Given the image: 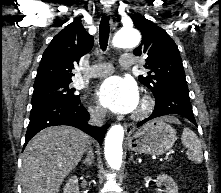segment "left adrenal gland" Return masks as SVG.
<instances>
[{
  "label": "left adrenal gland",
  "mask_w": 221,
  "mask_h": 193,
  "mask_svg": "<svg viewBox=\"0 0 221 193\" xmlns=\"http://www.w3.org/2000/svg\"><path fill=\"white\" fill-rule=\"evenodd\" d=\"M129 162H133L134 164H137L133 159V155H131V157L129 158Z\"/></svg>",
  "instance_id": "1"
}]
</instances>
